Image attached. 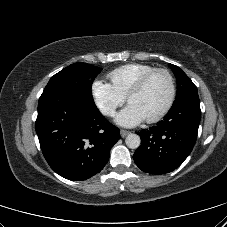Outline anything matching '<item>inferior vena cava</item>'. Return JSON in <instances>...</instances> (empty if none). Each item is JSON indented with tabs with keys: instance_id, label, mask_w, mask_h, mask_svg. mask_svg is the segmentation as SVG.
I'll return each mask as SVG.
<instances>
[{
	"instance_id": "obj_1",
	"label": "inferior vena cava",
	"mask_w": 227,
	"mask_h": 227,
	"mask_svg": "<svg viewBox=\"0 0 227 227\" xmlns=\"http://www.w3.org/2000/svg\"><path fill=\"white\" fill-rule=\"evenodd\" d=\"M102 113H104L105 115H110L112 116L114 114V110L110 109L108 107H102L101 108Z\"/></svg>"
}]
</instances>
